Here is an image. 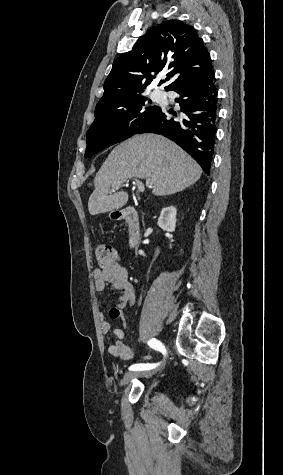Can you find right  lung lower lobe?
<instances>
[{
    "mask_svg": "<svg viewBox=\"0 0 283 475\" xmlns=\"http://www.w3.org/2000/svg\"><path fill=\"white\" fill-rule=\"evenodd\" d=\"M169 91L179 94L174 101L179 103L181 112L160 108L137 133H156L170 138L209 175L218 112L214 70L179 82Z\"/></svg>",
    "mask_w": 283,
    "mask_h": 475,
    "instance_id": "1",
    "label": "right lung lower lobe"
}]
</instances>
